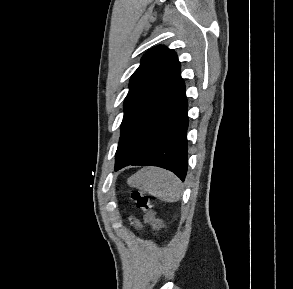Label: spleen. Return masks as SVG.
I'll use <instances>...</instances> for the list:
<instances>
[{"label":"spleen","mask_w":293,"mask_h":289,"mask_svg":"<svg viewBox=\"0 0 293 289\" xmlns=\"http://www.w3.org/2000/svg\"><path fill=\"white\" fill-rule=\"evenodd\" d=\"M128 184L166 202H176L182 196L180 180L161 168H143L128 179Z\"/></svg>","instance_id":"spleen-1"}]
</instances>
